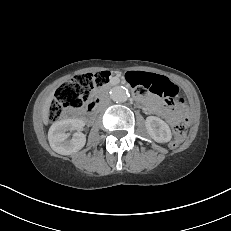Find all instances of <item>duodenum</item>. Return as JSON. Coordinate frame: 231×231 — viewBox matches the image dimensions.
<instances>
[{
    "mask_svg": "<svg viewBox=\"0 0 231 231\" xmlns=\"http://www.w3.org/2000/svg\"><path fill=\"white\" fill-rule=\"evenodd\" d=\"M106 91L101 92L97 97H95L93 100L90 101V103L87 106V113L92 114L93 111L97 108V106L100 104L103 95ZM138 99H141L140 96H137Z\"/></svg>",
    "mask_w": 231,
    "mask_h": 231,
    "instance_id": "410a0bca",
    "label": "duodenum"
}]
</instances>
